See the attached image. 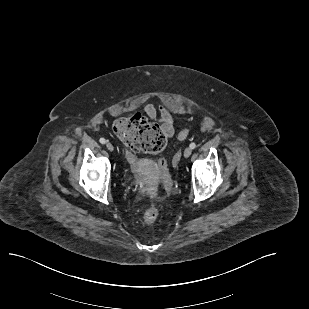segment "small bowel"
I'll use <instances>...</instances> for the list:
<instances>
[{"mask_svg": "<svg viewBox=\"0 0 309 309\" xmlns=\"http://www.w3.org/2000/svg\"><path fill=\"white\" fill-rule=\"evenodd\" d=\"M146 116L156 121L164 134L168 137H172L174 135V117L169 111L168 107L164 104H160L159 106H155L152 103H147L143 108ZM129 160L134 164L136 162V158L133 155H129Z\"/></svg>", "mask_w": 309, "mask_h": 309, "instance_id": "obj_1", "label": "small bowel"}]
</instances>
